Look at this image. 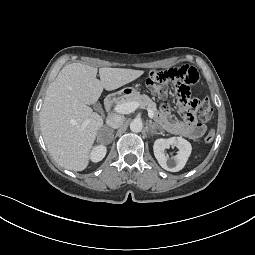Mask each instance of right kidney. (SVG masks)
<instances>
[{"mask_svg": "<svg viewBox=\"0 0 255 255\" xmlns=\"http://www.w3.org/2000/svg\"><path fill=\"white\" fill-rule=\"evenodd\" d=\"M106 152H107V149L104 145H98L92 150L90 154V159L93 162H99L105 157Z\"/></svg>", "mask_w": 255, "mask_h": 255, "instance_id": "obj_1", "label": "right kidney"}]
</instances>
